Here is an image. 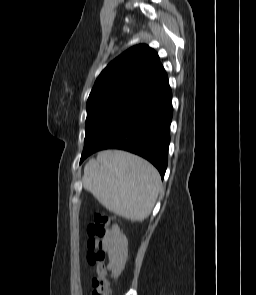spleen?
<instances>
[{"mask_svg":"<svg viewBox=\"0 0 256 295\" xmlns=\"http://www.w3.org/2000/svg\"><path fill=\"white\" fill-rule=\"evenodd\" d=\"M83 186L109 211L143 221L154 207L161 179L156 168L143 158L108 150L86 164Z\"/></svg>","mask_w":256,"mask_h":295,"instance_id":"obj_1","label":"spleen"}]
</instances>
